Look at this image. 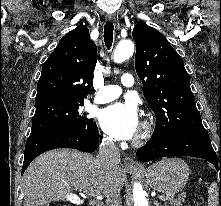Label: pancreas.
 I'll return each instance as SVG.
<instances>
[{"instance_id": "cf45deb5", "label": "pancreas", "mask_w": 221, "mask_h": 206, "mask_svg": "<svg viewBox=\"0 0 221 206\" xmlns=\"http://www.w3.org/2000/svg\"><path fill=\"white\" fill-rule=\"evenodd\" d=\"M185 194L178 196L175 198L173 195L167 196L165 199L168 201L167 204L169 206H181L183 202H185Z\"/></svg>"}]
</instances>
